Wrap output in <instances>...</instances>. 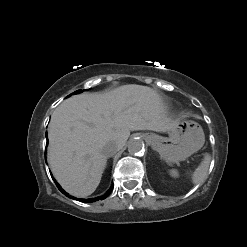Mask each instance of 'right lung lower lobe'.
<instances>
[{
  "label": "right lung lower lobe",
  "mask_w": 247,
  "mask_h": 247,
  "mask_svg": "<svg viewBox=\"0 0 247 247\" xmlns=\"http://www.w3.org/2000/svg\"><path fill=\"white\" fill-rule=\"evenodd\" d=\"M46 138H47V133H46ZM52 178H53V177H52ZM53 180H54V182L56 183L58 189H59L63 194H65L66 196H69V194H67V193L64 192V190L60 187V185L55 181L54 178H53ZM112 188H113V186H111L110 189H109V191H108L105 195H103L102 197L90 198V199H79V198L72 197V199L78 200V201H80V202H86V203H88V202H94V201L99 200V199L102 200V199H105V198L111 193Z\"/></svg>",
  "instance_id": "1"
}]
</instances>
